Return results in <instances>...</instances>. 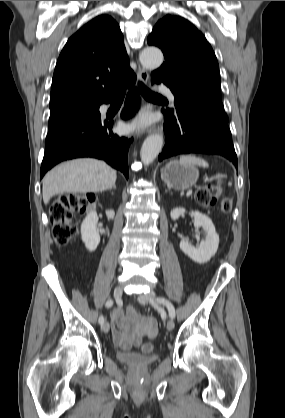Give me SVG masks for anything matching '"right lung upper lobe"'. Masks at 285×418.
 Returning a JSON list of instances; mask_svg holds the SVG:
<instances>
[{"label": "right lung upper lobe", "instance_id": "1", "mask_svg": "<svg viewBox=\"0 0 285 418\" xmlns=\"http://www.w3.org/2000/svg\"><path fill=\"white\" fill-rule=\"evenodd\" d=\"M135 79L119 25L112 17L100 15L64 46L52 79L50 107L108 103L119 86L129 87Z\"/></svg>", "mask_w": 285, "mask_h": 418}]
</instances>
